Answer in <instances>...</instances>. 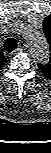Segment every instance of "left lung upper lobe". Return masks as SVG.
I'll return each mask as SVG.
<instances>
[{"label":"left lung upper lobe","mask_w":51,"mask_h":153,"mask_svg":"<svg viewBox=\"0 0 51 153\" xmlns=\"http://www.w3.org/2000/svg\"><path fill=\"white\" fill-rule=\"evenodd\" d=\"M43 31L45 33V36L49 42L50 49H51V15L46 17L43 21ZM38 67L42 74L47 78L51 80V57L48 63L46 64H38Z\"/></svg>","instance_id":"obj_1"}]
</instances>
